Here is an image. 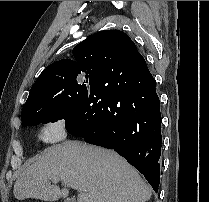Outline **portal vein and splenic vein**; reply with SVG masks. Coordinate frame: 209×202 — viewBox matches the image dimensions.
<instances>
[{
	"label": "portal vein and splenic vein",
	"mask_w": 209,
	"mask_h": 202,
	"mask_svg": "<svg viewBox=\"0 0 209 202\" xmlns=\"http://www.w3.org/2000/svg\"><path fill=\"white\" fill-rule=\"evenodd\" d=\"M51 181H52L53 183H58V182H59V179H58V178H52Z\"/></svg>",
	"instance_id": "18ae733b"
}]
</instances>
